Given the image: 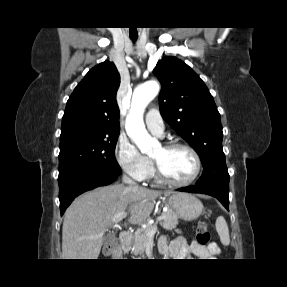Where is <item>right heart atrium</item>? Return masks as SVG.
<instances>
[{
  "label": "right heart atrium",
  "mask_w": 287,
  "mask_h": 287,
  "mask_svg": "<svg viewBox=\"0 0 287 287\" xmlns=\"http://www.w3.org/2000/svg\"><path fill=\"white\" fill-rule=\"evenodd\" d=\"M115 157L120 167L133 179L144 181L148 175L150 160L143 155L125 135H120L115 145Z\"/></svg>",
  "instance_id": "1"
}]
</instances>
